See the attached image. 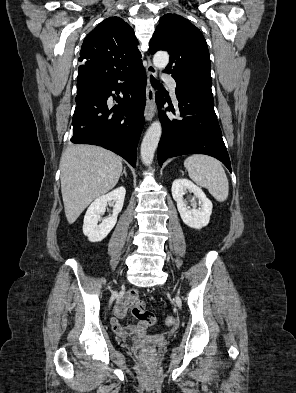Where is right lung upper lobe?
I'll use <instances>...</instances> for the list:
<instances>
[{
    "mask_svg": "<svg viewBox=\"0 0 296 393\" xmlns=\"http://www.w3.org/2000/svg\"><path fill=\"white\" fill-rule=\"evenodd\" d=\"M133 29L119 17L102 21L84 39L80 67L102 74H121L142 65Z\"/></svg>",
    "mask_w": 296,
    "mask_h": 393,
    "instance_id": "right-lung-upper-lobe-1",
    "label": "right lung upper lobe"
}]
</instances>
